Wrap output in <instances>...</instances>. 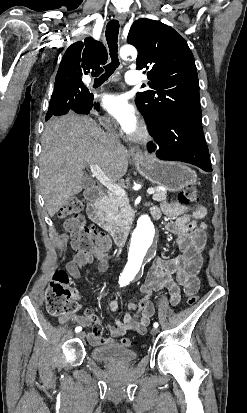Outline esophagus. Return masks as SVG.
<instances>
[{"mask_svg": "<svg viewBox=\"0 0 247 413\" xmlns=\"http://www.w3.org/2000/svg\"><path fill=\"white\" fill-rule=\"evenodd\" d=\"M116 18L121 24H124L126 14L118 13L116 14ZM129 152L131 153L132 158H139V156L142 155V150L136 145H129Z\"/></svg>", "mask_w": 247, "mask_h": 413, "instance_id": "obj_1", "label": "esophagus"}]
</instances>
